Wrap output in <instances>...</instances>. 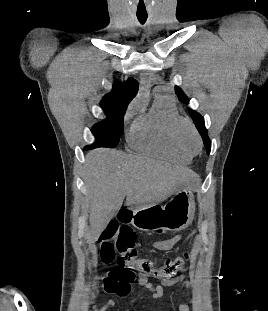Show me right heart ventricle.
Segmentation results:
<instances>
[{
    "instance_id": "right-heart-ventricle-1",
    "label": "right heart ventricle",
    "mask_w": 268,
    "mask_h": 311,
    "mask_svg": "<svg viewBox=\"0 0 268 311\" xmlns=\"http://www.w3.org/2000/svg\"><path fill=\"white\" fill-rule=\"evenodd\" d=\"M176 116L178 111L173 100L158 95L150 110L139 114L132 123L129 144L141 153L188 164L191 156L181 151L171 136V123Z\"/></svg>"
}]
</instances>
